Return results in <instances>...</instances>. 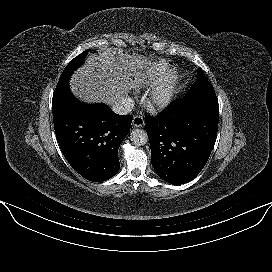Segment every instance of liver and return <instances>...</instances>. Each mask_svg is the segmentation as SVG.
I'll list each match as a JSON object with an SVG mask.
<instances>
[{
    "mask_svg": "<svg viewBox=\"0 0 272 272\" xmlns=\"http://www.w3.org/2000/svg\"><path fill=\"white\" fill-rule=\"evenodd\" d=\"M146 58L122 49H101L73 73L71 92L86 103L112 105L144 83Z\"/></svg>",
    "mask_w": 272,
    "mask_h": 272,
    "instance_id": "obj_1",
    "label": "liver"
}]
</instances>
